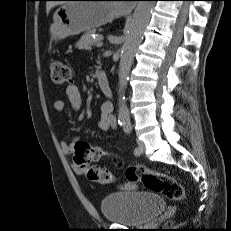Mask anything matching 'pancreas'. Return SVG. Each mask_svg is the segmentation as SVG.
Instances as JSON below:
<instances>
[{
  "instance_id": "1",
  "label": "pancreas",
  "mask_w": 231,
  "mask_h": 231,
  "mask_svg": "<svg viewBox=\"0 0 231 231\" xmlns=\"http://www.w3.org/2000/svg\"><path fill=\"white\" fill-rule=\"evenodd\" d=\"M93 31L85 32L81 39L76 43V46L81 50H91V47L101 40L99 34L96 35V38L92 37Z\"/></svg>"
}]
</instances>
